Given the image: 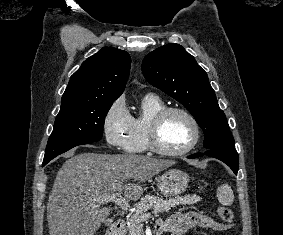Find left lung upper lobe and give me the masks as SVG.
<instances>
[{
  "mask_svg": "<svg viewBox=\"0 0 283 235\" xmlns=\"http://www.w3.org/2000/svg\"><path fill=\"white\" fill-rule=\"evenodd\" d=\"M142 72L147 81L182 103L204 132V147L234 148L224 112L206 72L194 57L178 44L157 48L143 60Z\"/></svg>",
  "mask_w": 283,
  "mask_h": 235,
  "instance_id": "obj_1",
  "label": "left lung upper lobe"
}]
</instances>
